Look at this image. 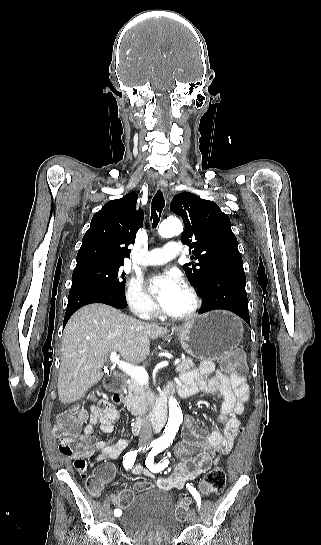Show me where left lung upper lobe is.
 <instances>
[{
	"label": "left lung upper lobe",
	"instance_id": "1",
	"mask_svg": "<svg viewBox=\"0 0 321 545\" xmlns=\"http://www.w3.org/2000/svg\"><path fill=\"white\" fill-rule=\"evenodd\" d=\"M170 209L183 218L181 242L190 246L198 263L184 265L186 276L201 289L215 271L243 265L231 221L218 205L190 192L176 195Z\"/></svg>",
	"mask_w": 321,
	"mask_h": 545
}]
</instances>
